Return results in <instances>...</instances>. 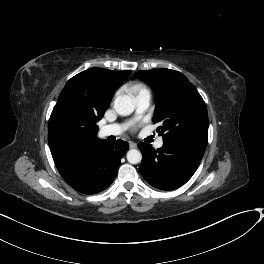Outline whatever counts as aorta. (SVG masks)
I'll return each mask as SVG.
<instances>
[{
	"instance_id": "obj_1",
	"label": "aorta",
	"mask_w": 264,
	"mask_h": 264,
	"mask_svg": "<svg viewBox=\"0 0 264 264\" xmlns=\"http://www.w3.org/2000/svg\"><path fill=\"white\" fill-rule=\"evenodd\" d=\"M114 109L119 115H130L135 109V100L132 96L120 95L114 101ZM126 157L131 164H137L142 160L141 152L137 149L129 150Z\"/></svg>"
}]
</instances>
